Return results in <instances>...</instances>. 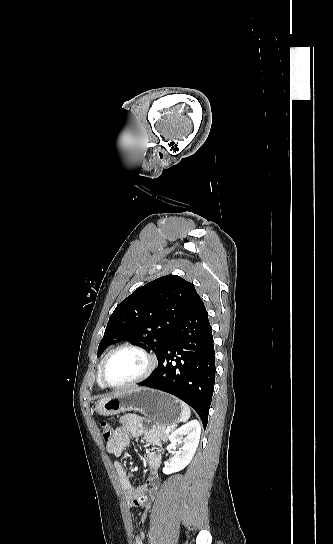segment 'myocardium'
Wrapping results in <instances>:
<instances>
[{"mask_svg": "<svg viewBox=\"0 0 333 544\" xmlns=\"http://www.w3.org/2000/svg\"><path fill=\"white\" fill-rule=\"evenodd\" d=\"M122 350H133V351H136V352L142 354L144 356L145 360H146V366H145V369L143 370V372L140 375H138L137 377L133 378L132 380H130L128 382H125V383H122V384H116V385L111 384V383H109L107 381V379L105 377L106 366H107L109 360L111 359V357L114 354H116L117 352L122 351ZM157 364H158V361H157L156 356L154 354H152L150 351H148L146 348H144L143 346L138 345V344H133V343H124V344H121V345L115 347L114 349H112L105 356V358L102 361L101 367H100L99 377H100V380H101L102 384L105 387H109V388H113V389L127 388V387H130V386H134V385H136L138 383H141V382L145 381L147 378H149L150 375L156 369Z\"/></svg>", "mask_w": 333, "mask_h": 544, "instance_id": "f54148a6", "label": "myocardium"}]
</instances>
